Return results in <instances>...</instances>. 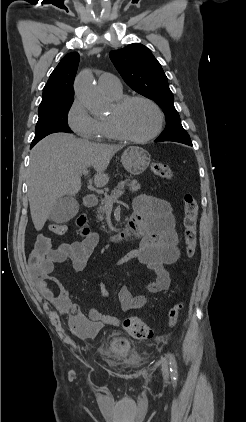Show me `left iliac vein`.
<instances>
[{"instance_id":"1","label":"left iliac vein","mask_w":246,"mask_h":422,"mask_svg":"<svg viewBox=\"0 0 246 422\" xmlns=\"http://www.w3.org/2000/svg\"><path fill=\"white\" fill-rule=\"evenodd\" d=\"M162 371H163V375H164V377H165V378H167V377H168V374H169V371H168V365H167V363H164V364L162 365Z\"/></svg>"}]
</instances>
